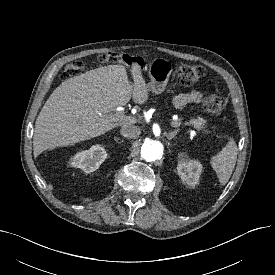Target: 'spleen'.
Segmentation results:
<instances>
[{
	"mask_svg": "<svg viewBox=\"0 0 275 275\" xmlns=\"http://www.w3.org/2000/svg\"><path fill=\"white\" fill-rule=\"evenodd\" d=\"M237 145L233 138H230L222 150L211 158L210 164L215 170L221 185H225L231 177L237 159Z\"/></svg>",
	"mask_w": 275,
	"mask_h": 275,
	"instance_id": "spleen-1",
	"label": "spleen"
}]
</instances>
